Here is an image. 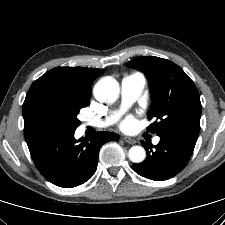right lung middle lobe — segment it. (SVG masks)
Masks as SVG:
<instances>
[{"mask_svg":"<svg viewBox=\"0 0 225 225\" xmlns=\"http://www.w3.org/2000/svg\"><path fill=\"white\" fill-rule=\"evenodd\" d=\"M89 92L68 86L51 85L35 90L23 104L24 123L29 126H50L76 130L77 115L86 107Z\"/></svg>","mask_w":225,"mask_h":225,"instance_id":"1","label":"right lung middle lobe"}]
</instances>
